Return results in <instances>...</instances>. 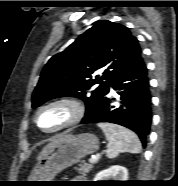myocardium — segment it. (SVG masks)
<instances>
[{
	"mask_svg": "<svg viewBox=\"0 0 178 186\" xmlns=\"http://www.w3.org/2000/svg\"><path fill=\"white\" fill-rule=\"evenodd\" d=\"M56 105L66 106L70 110V116L67 119V121L61 124L60 126L51 130H45L38 123V115L42 110ZM84 116H85V106L82 104L80 100L73 97H60L39 106L34 113L33 119L37 128L41 130L43 133L55 134L77 125L84 118Z\"/></svg>",
	"mask_w": 178,
	"mask_h": 186,
	"instance_id": "1",
	"label": "myocardium"
}]
</instances>
